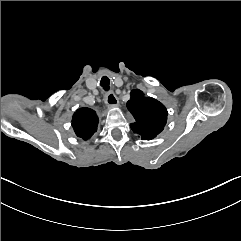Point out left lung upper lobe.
<instances>
[{"label": "left lung upper lobe", "instance_id": "obj_1", "mask_svg": "<svg viewBox=\"0 0 241 241\" xmlns=\"http://www.w3.org/2000/svg\"><path fill=\"white\" fill-rule=\"evenodd\" d=\"M127 108L136 120L130 127L143 140L155 138L164 129L167 109L156 99L146 97L142 91L138 89L131 91Z\"/></svg>", "mask_w": 241, "mask_h": 241}]
</instances>
